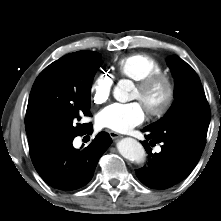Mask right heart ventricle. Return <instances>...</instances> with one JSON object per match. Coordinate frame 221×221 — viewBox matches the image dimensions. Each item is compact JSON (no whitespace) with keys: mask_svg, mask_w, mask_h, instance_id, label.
Returning a JSON list of instances; mask_svg holds the SVG:
<instances>
[{"mask_svg":"<svg viewBox=\"0 0 221 221\" xmlns=\"http://www.w3.org/2000/svg\"><path fill=\"white\" fill-rule=\"evenodd\" d=\"M116 68L118 73L133 81H139L143 77L158 71H162V63L146 53H134L120 59Z\"/></svg>","mask_w":221,"mask_h":221,"instance_id":"1","label":"right heart ventricle"}]
</instances>
